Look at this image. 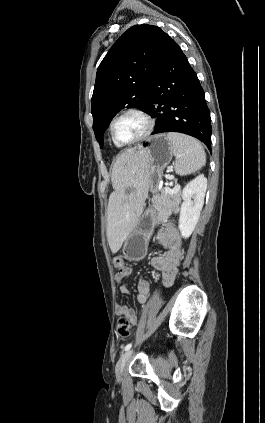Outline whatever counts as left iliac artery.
Masks as SVG:
<instances>
[{"label": "left iliac artery", "instance_id": "left-iliac-artery-1", "mask_svg": "<svg viewBox=\"0 0 265 423\" xmlns=\"http://www.w3.org/2000/svg\"><path fill=\"white\" fill-rule=\"evenodd\" d=\"M132 347V343H129L125 346L124 350L127 351Z\"/></svg>", "mask_w": 265, "mask_h": 423}]
</instances>
